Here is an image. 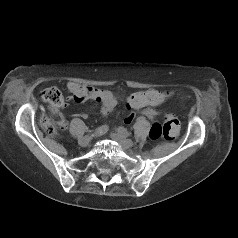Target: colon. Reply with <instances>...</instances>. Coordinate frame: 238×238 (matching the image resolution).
<instances>
[{"label":"colon","instance_id":"colon-1","mask_svg":"<svg viewBox=\"0 0 238 238\" xmlns=\"http://www.w3.org/2000/svg\"><path fill=\"white\" fill-rule=\"evenodd\" d=\"M40 97L43 101L52 105L53 107H61L64 103V97L61 91L57 87H48L41 91ZM144 116L147 119H154L157 116V111L154 108H147L144 111ZM45 130L49 134H55V128L48 122H44ZM179 133V121L173 117L168 116L164 124H154L150 130L149 136L152 140L159 139L161 137L171 140L174 139Z\"/></svg>","mask_w":238,"mask_h":238}]
</instances>
